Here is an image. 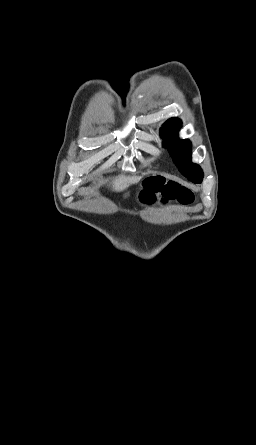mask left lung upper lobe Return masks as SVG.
Returning <instances> with one entry per match:
<instances>
[{"label": "left lung upper lobe", "mask_w": 256, "mask_h": 445, "mask_svg": "<svg viewBox=\"0 0 256 445\" xmlns=\"http://www.w3.org/2000/svg\"><path fill=\"white\" fill-rule=\"evenodd\" d=\"M180 127L181 121L178 118L169 119L164 123L160 129V136L166 138L164 147L168 148L183 175L194 183H201L203 171L197 164L191 163V142L178 139L177 132Z\"/></svg>", "instance_id": "1"}]
</instances>
